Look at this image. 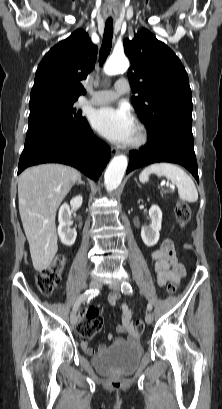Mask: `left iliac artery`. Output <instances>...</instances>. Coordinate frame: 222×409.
Segmentation results:
<instances>
[{
    "label": "left iliac artery",
    "mask_w": 222,
    "mask_h": 409,
    "mask_svg": "<svg viewBox=\"0 0 222 409\" xmlns=\"http://www.w3.org/2000/svg\"><path fill=\"white\" fill-rule=\"evenodd\" d=\"M121 291H122V293H124V294H130V293H132V287H131V285H130L128 282H123V283L121 284ZM147 310H148V311H151V310H152V304H151V303H149V304L147 305Z\"/></svg>",
    "instance_id": "44dca946"
}]
</instances>
